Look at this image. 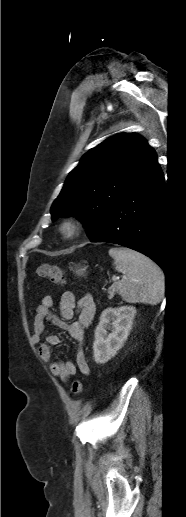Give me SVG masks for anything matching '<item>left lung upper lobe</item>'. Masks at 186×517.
<instances>
[{
    "label": "left lung upper lobe",
    "instance_id": "left-lung-upper-lobe-1",
    "mask_svg": "<svg viewBox=\"0 0 186 517\" xmlns=\"http://www.w3.org/2000/svg\"><path fill=\"white\" fill-rule=\"evenodd\" d=\"M156 159L154 150L137 134L106 139L70 172L51 207L52 220L77 216L92 240L116 202Z\"/></svg>",
    "mask_w": 186,
    "mask_h": 517
}]
</instances>
